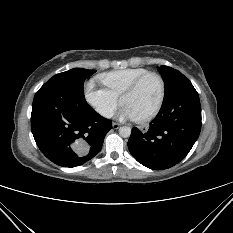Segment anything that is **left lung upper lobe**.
<instances>
[{"label":"left lung upper lobe","instance_id":"5c2ea615","mask_svg":"<svg viewBox=\"0 0 233 233\" xmlns=\"http://www.w3.org/2000/svg\"><path fill=\"white\" fill-rule=\"evenodd\" d=\"M158 71L160 72L164 84H165V97L170 93L172 88L175 86L177 80L183 75L178 70H175L171 67L162 65L158 67Z\"/></svg>","mask_w":233,"mask_h":233}]
</instances>
